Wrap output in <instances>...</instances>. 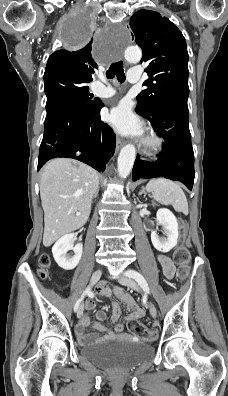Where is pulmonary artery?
Wrapping results in <instances>:
<instances>
[{"label":"pulmonary artery","instance_id":"1","mask_svg":"<svg viewBox=\"0 0 228 396\" xmlns=\"http://www.w3.org/2000/svg\"><path fill=\"white\" fill-rule=\"evenodd\" d=\"M128 80L136 83L140 80V71L138 68H131L128 72ZM96 94L102 98H109L115 94V91L109 87L100 84L96 89Z\"/></svg>","mask_w":228,"mask_h":396}]
</instances>
